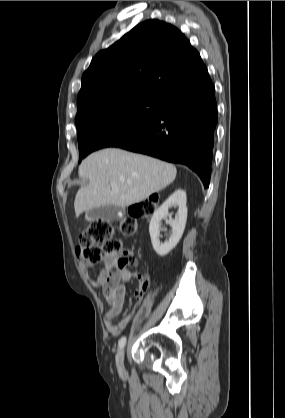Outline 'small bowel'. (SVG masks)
Wrapping results in <instances>:
<instances>
[{
    "label": "small bowel",
    "instance_id": "1",
    "mask_svg": "<svg viewBox=\"0 0 285 418\" xmlns=\"http://www.w3.org/2000/svg\"><path fill=\"white\" fill-rule=\"evenodd\" d=\"M103 263L106 267L111 264L110 257L103 258ZM95 268L93 264L87 262H80V269L83 276L91 283L93 287H100L102 276L92 278L90 270ZM132 274L130 271L123 269H114L110 272L108 283L102 287L103 295L109 304V310L104 314V323L106 330L111 336H118L122 333L128 324V317L123 318L118 324L113 323V319L120 316L123 312V302L125 298V285L130 282ZM138 287L135 290L136 298H140L147 286L148 280L145 276L138 279Z\"/></svg>",
    "mask_w": 285,
    "mask_h": 418
}]
</instances>
